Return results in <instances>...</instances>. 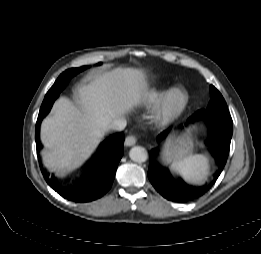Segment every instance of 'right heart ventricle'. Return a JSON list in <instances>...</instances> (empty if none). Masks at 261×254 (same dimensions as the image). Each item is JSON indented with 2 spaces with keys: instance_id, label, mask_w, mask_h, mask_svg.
I'll return each instance as SVG.
<instances>
[{
  "instance_id": "obj_1",
  "label": "right heart ventricle",
  "mask_w": 261,
  "mask_h": 254,
  "mask_svg": "<svg viewBox=\"0 0 261 254\" xmlns=\"http://www.w3.org/2000/svg\"><path fill=\"white\" fill-rule=\"evenodd\" d=\"M166 92V87L159 86L149 90L145 94V101L147 104L154 105L159 102L164 93Z\"/></svg>"
}]
</instances>
